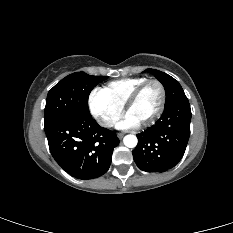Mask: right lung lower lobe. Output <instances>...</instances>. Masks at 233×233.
Wrapping results in <instances>:
<instances>
[{"mask_svg": "<svg viewBox=\"0 0 233 233\" xmlns=\"http://www.w3.org/2000/svg\"><path fill=\"white\" fill-rule=\"evenodd\" d=\"M50 152L56 162L79 179L97 178L110 167L115 132L103 128L90 113L61 117L45 124Z\"/></svg>", "mask_w": 233, "mask_h": 233, "instance_id": "obj_1", "label": "right lung lower lobe"}]
</instances>
